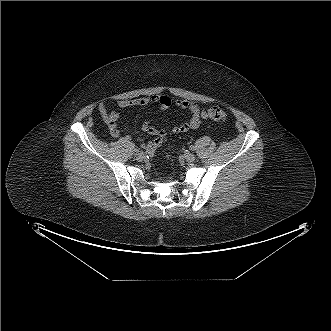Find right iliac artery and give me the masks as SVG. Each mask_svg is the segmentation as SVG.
Returning <instances> with one entry per match:
<instances>
[{
    "label": "right iliac artery",
    "instance_id": "82829eb1",
    "mask_svg": "<svg viewBox=\"0 0 331 331\" xmlns=\"http://www.w3.org/2000/svg\"><path fill=\"white\" fill-rule=\"evenodd\" d=\"M134 152H136V153L141 152V148H136V149H134Z\"/></svg>",
    "mask_w": 331,
    "mask_h": 331
}]
</instances>
